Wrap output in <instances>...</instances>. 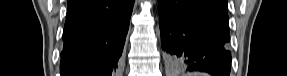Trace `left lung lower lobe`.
<instances>
[{
    "instance_id": "left-lung-lower-lobe-1",
    "label": "left lung lower lobe",
    "mask_w": 287,
    "mask_h": 76,
    "mask_svg": "<svg viewBox=\"0 0 287 76\" xmlns=\"http://www.w3.org/2000/svg\"><path fill=\"white\" fill-rule=\"evenodd\" d=\"M158 8L162 49L170 64L229 76L227 8L210 0H159Z\"/></svg>"
}]
</instances>
